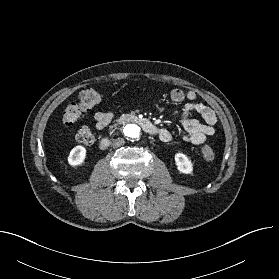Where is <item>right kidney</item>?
Segmentation results:
<instances>
[{"label":"right kidney","mask_w":279,"mask_h":279,"mask_svg":"<svg viewBox=\"0 0 279 279\" xmlns=\"http://www.w3.org/2000/svg\"><path fill=\"white\" fill-rule=\"evenodd\" d=\"M86 158V148L83 146L74 147L68 157V163L71 166L81 165Z\"/></svg>","instance_id":"obj_1"}]
</instances>
